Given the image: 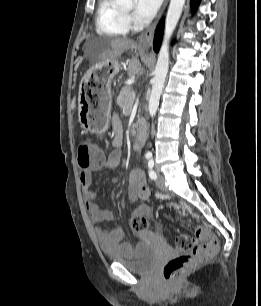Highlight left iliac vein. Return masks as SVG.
I'll list each match as a JSON object with an SVG mask.
<instances>
[{
	"instance_id": "1",
	"label": "left iliac vein",
	"mask_w": 261,
	"mask_h": 306,
	"mask_svg": "<svg viewBox=\"0 0 261 306\" xmlns=\"http://www.w3.org/2000/svg\"><path fill=\"white\" fill-rule=\"evenodd\" d=\"M156 186L161 191H166L165 179H164V176L162 174H160V173H158V178L156 180Z\"/></svg>"
}]
</instances>
